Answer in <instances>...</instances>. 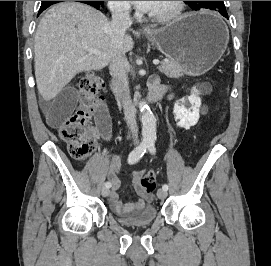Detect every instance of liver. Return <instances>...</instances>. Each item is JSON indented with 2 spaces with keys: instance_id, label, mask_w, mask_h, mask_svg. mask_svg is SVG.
Returning a JSON list of instances; mask_svg holds the SVG:
<instances>
[{
  "instance_id": "liver-1",
  "label": "liver",
  "mask_w": 271,
  "mask_h": 266,
  "mask_svg": "<svg viewBox=\"0 0 271 266\" xmlns=\"http://www.w3.org/2000/svg\"><path fill=\"white\" fill-rule=\"evenodd\" d=\"M107 17L86 4L59 3L41 19L35 36L37 88L50 101L79 73L101 70L115 55ZM129 34L123 37V51L132 50ZM85 47L97 49L101 55Z\"/></svg>"
}]
</instances>
